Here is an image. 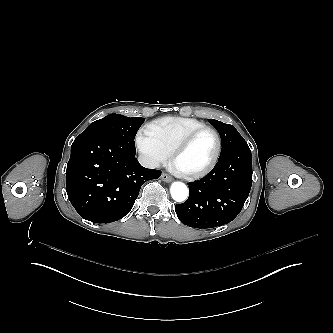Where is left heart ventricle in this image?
I'll return each mask as SVG.
<instances>
[{"label": "left heart ventricle", "mask_w": 333, "mask_h": 333, "mask_svg": "<svg viewBox=\"0 0 333 333\" xmlns=\"http://www.w3.org/2000/svg\"><path fill=\"white\" fill-rule=\"evenodd\" d=\"M215 151V137L210 131H203L174 159L172 167L181 173L197 171L208 165Z\"/></svg>", "instance_id": "b2bd125f"}]
</instances>
